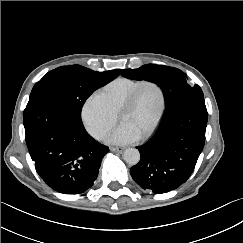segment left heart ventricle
<instances>
[{
	"label": "left heart ventricle",
	"instance_id": "left-heart-ventricle-1",
	"mask_svg": "<svg viewBox=\"0 0 243 243\" xmlns=\"http://www.w3.org/2000/svg\"><path fill=\"white\" fill-rule=\"evenodd\" d=\"M160 106L161 97L158 89L152 84L145 85L139 91L134 107L122 114L120 120L142 135L153 125Z\"/></svg>",
	"mask_w": 243,
	"mask_h": 243
}]
</instances>
